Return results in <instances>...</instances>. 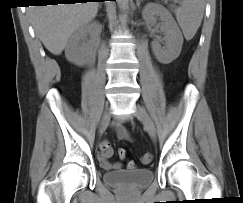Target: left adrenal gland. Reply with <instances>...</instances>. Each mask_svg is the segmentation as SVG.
Listing matches in <instances>:
<instances>
[{
  "label": "left adrenal gland",
  "mask_w": 243,
  "mask_h": 203,
  "mask_svg": "<svg viewBox=\"0 0 243 203\" xmlns=\"http://www.w3.org/2000/svg\"><path fill=\"white\" fill-rule=\"evenodd\" d=\"M143 0H136V6L139 8L140 7V2Z\"/></svg>",
  "instance_id": "1"
}]
</instances>
